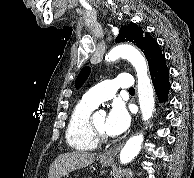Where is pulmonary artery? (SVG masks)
I'll return each mask as SVG.
<instances>
[{"instance_id":"pulmonary-artery-1","label":"pulmonary artery","mask_w":194,"mask_h":178,"mask_svg":"<svg viewBox=\"0 0 194 178\" xmlns=\"http://www.w3.org/2000/svg\"><path fill=\"white\" fill-rule=\"evenodd\" d=\"M134 81L130 74H121L114 79H107L84 94L83 100L94 106L111 99L119 88H131Z\"/></svg>"}]
</instances>
